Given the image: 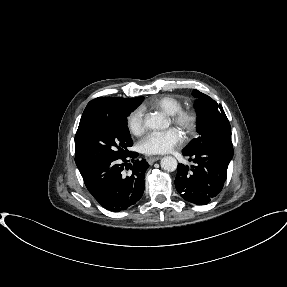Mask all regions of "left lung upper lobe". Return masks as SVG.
<instances>
[{
  "label": "left lung upper lobe",
  "mask_w": 287,
  "mask_h": 287,
  "mask_svg": "<svg viewBox=\"0 0 287 287\" xmlns=\"http://www.w3.org/2000/svg\"><path fill=\"white\" fill-rule=\"evenodd\" d=\"M192 95L196 98L194 107L198 137L183 152L190 154L212 144L231 140V126L221 104L198 90H194Z\"/></svg>",
  "instance_id": "left-lung-upper-lobe-1"
}]
</instances>
